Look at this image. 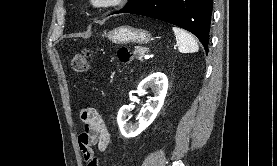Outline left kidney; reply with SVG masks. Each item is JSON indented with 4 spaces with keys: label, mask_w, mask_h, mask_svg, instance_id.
Here are the masks:
<instances>
[{
    "label": "left kidney",
    "mask_w": 277,
    "mask_h": 166,
    "mask_svg": "<svg viewBox=\"0 0 277 166\" xmlns=\"http://www.w3.org/2000/svg\"><path fill=\"white\" fill-rule=\"evenodd\" d=\"M149 87L152 88L154 96L148 100L147 106L137 123L133 125L127 123L130 117V106L124 105L119 110L117 121L121 134L124 137L131 138L138 136L152 124L162 108L168 90V79L166 75L161 72L153 73L141 81L137 89L144 95Z\"/></svg>",
    "instance_id": "left-kidney-1"
}]
</instances>
